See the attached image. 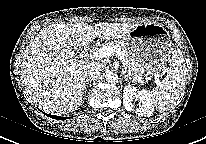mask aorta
I'll list each match as a JSON object with an SVG mask.
<instances>
[{"mask_svg": "<svg viewBox=\"0 0 206 144\" xmlns=\"http://www.w3.org/2000/svg\"><path fill=\"white\" fill-rule=\"evenodd\" d=\"M105 79L108 83L115 84L118 82V75L114 72H108L105 75Z\"/></svg>", "mask_w": 206, "mask_h": 144, "instance_id": "aorta-1", "label": "aorta"}]
</instances>
